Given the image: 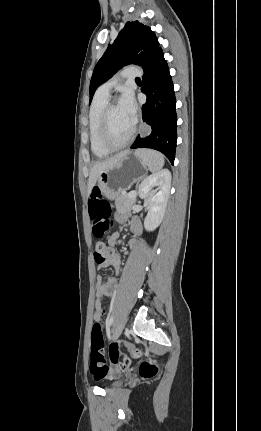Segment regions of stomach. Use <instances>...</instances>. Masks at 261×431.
I'll return each instance as SVG.
<instances>
[{"mask_svg":"<svg viewBox=\"0 0 261 431\" xmlns=\"http://www.w3.org/2000/svg\"><path fill=\"white\" fill-rule=\"evenodd\" d=\"M149 168L136 152H128L113 168L101 173L98 187L101 196L113 199L120 192L129 189L147 174Z\"/></svg>","mask_w":261,"mask_h":431,"instance_id":"stomach-1","label":"stomach"}]
</instances>
